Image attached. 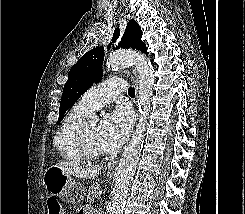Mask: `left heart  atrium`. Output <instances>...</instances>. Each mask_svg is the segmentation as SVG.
I'll return each mask as SVG.
<instances>
[{
    "mask_svg": "<svg viewBox=\"0 0 245 214\" xmlns=\"http://www.w3.org/2000/svg\"><path fill=\"white\" fill-rule=\"evenodd\" d=\"M132 125L131 113L125 108H118L106 115L98 126V142L105 152H114L126 140Z\"/></svg>",
    "mask_w": 245,
    "mask_h": 214,
    "instance_id": "39dd6f15",
    "label": "left heart atrium"
}]
</instances>
